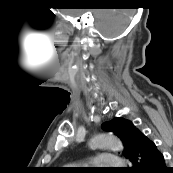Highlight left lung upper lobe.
Listing matches in <instances>:
<instances>
[{
    "label": "left lung upper lobe",
    "mask_w": 173,
    "mask_h": 173,
    "mask_svg": "<svg viewBox=\"0 0 173 173\" xmlns=\"http://www.w3.org/2000/svg\"><path fill=\"white\" fill-rule=\"evenodd\" d=\"M102 128L105 131L113 132L121 139L125 148L123 155L127 157L135 146L137 134L140 132L139 129L131 121L121 117H116L104 123Z\"/></svg>",
    "instance_id": "obj_1"
}]
</instances>
